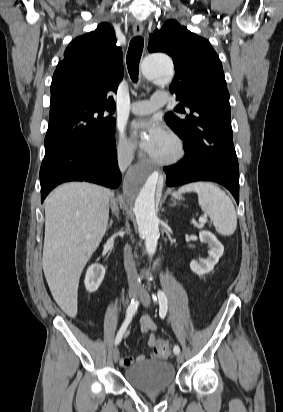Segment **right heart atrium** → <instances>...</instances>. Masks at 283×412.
<instances>
[{
	"instance_id": "d8ad5b80",
	"label": "right heart atrium",
	"mask_w": 283,
	"mask_h": 412,
	"mask_svg": "<svg viewBox=\"0 0 283 412\" xmlns=\"http://www.w3.org/2000/svg\"><path fill=\"white\" fill-rule=\"evenodd\" d=\"M116 151L121 159L129 161L134 157L137 147L131 139L127 138L122 132H118Z\"/></svg>"
}]
</instances>
